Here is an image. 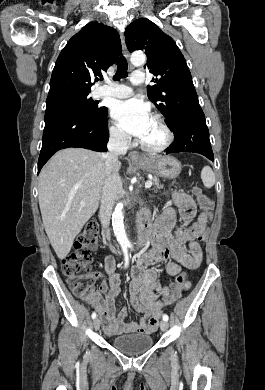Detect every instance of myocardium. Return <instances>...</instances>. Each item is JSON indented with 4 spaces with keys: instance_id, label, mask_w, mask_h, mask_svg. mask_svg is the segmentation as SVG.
<instances>
[{
    "instance_id": "1",
    "label": "myocardium",
    "mask_w": 265,
    "mask_h": 390,
    "mask_svg": "<svg viewBox=\"0 0 265 390\" xmlns=\"http://www.w3.org/2000/svg\"><path fill=\"white\" fill-rule=\"evenodd\" d=\"M153 120L156 121V123L160 126L161 130L163 131L164 134L163 141L160 144L155 146L147 145L144 142L139 141V145L141 149H143L144 151L148 153L156 154L166 150L172 144L174 136L169 125L160 115H154Z\"/></svg>"
}]
</instances>
